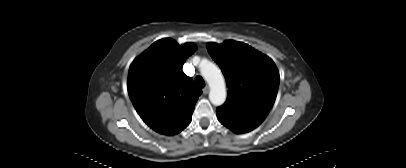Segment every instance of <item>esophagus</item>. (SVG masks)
Returning <instances> with one entry per match:
<instances>
[{"label": "esophagus", "mask_w": 406, "mask_h": 168, "mask_svg": "<svg viewBox=\"0 0 406 168\" xmlns=\"http://www.w3.org/2000/svg\"><path fill=\"white\" fill-rule=\"evenodd\" d=\"M208 92H209V86H205L204 88H203V94H208Z\"/></svg>", "instance_id": "1"}]
</instances>
